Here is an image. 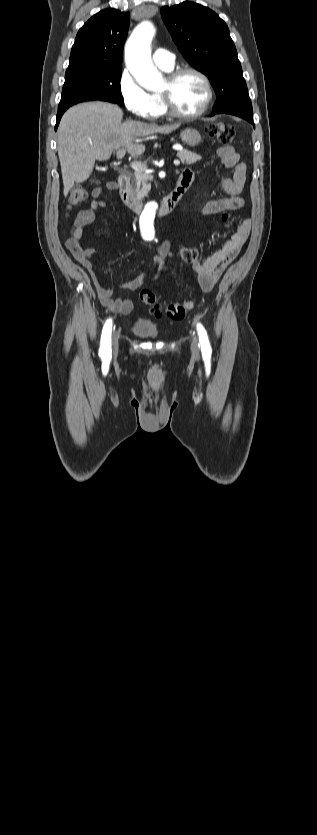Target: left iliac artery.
<instances>
[{
	"mask_svg": "<svg viewBox=\"0 0 317 835\" xmlns=\"http://www.w3.org/2000/svg\"><path fill=\"white\" fill-rule=\"evenodd\" d=\"M197 331H198V336H199V341H200V346H201V351H202L203 358L206 361H209L210 358H211L212 349H211V346H210V343H209L207 332H206L205 328L202 326L201 323L197 324Z\"/></svg>",
	"mask_w": 317,
	"mask_h": 835,
	"instance_id": "left-iliac-artery-1",
	"label": "left iliac artery"
}]
</instances>
